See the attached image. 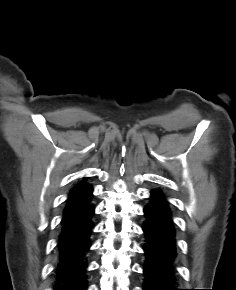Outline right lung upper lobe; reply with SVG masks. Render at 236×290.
<instances>
[{
  "mask_svg": "<svg viewBox=\"0 0 236 290\" xmlns=\"http://www.w3.org/2000/svg\"><path fill=\"white\" fill-rule=\"evenodd\" d=\"M85 179L86 178L71 189L64 212L80 207L91 199L93 188L85 181Z\"/></svg>",
  "mask_w": 236,
  "mask_h": 290,
  "instance_id": "obj_1",
  "label": "right lung upper lobe"
}]
</instances>
